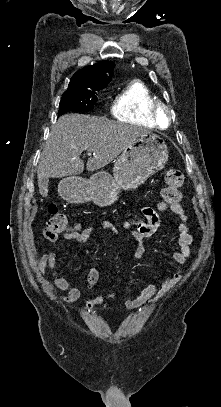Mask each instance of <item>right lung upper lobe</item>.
<instances>
[{"label": "right lung upper lobe", "instance_id": "1", "mask_svg": "<svg viewBox=\"0 0 221 407\" xmlns=\"http://www.w3.org/2000/svg\"><path fill=\"white\" fill-rule=\"evenodd\" d=\"M114 64L103 60L78 70L70 80L67 91L103 89L112 79Z\"/></svg>", "mask_w": 221, "mask_h": 407}]
</instances>
